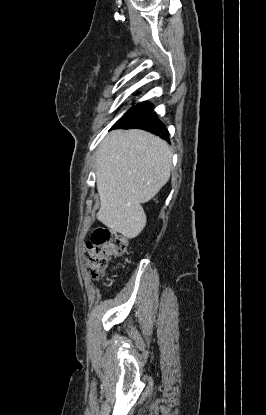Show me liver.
<instances>
[{
    "label": "liver",
    "mask_w": 266,
    "mask_h": 415,
    "mask_svg": "<svg viewBox=\"0 0 266 415\" xmlns=\"http://www.w3.org/2000/svg\"><path fill=\"white\" fill-rule=\"evenodd\" d=\"M172 151L146 131L114 130L99 146L95 160L100 209L97 219L132 239L146 225L141 206L168 182Z\"/></svg>",
    "instance_id": "6515ba94"
}]
</instances>
